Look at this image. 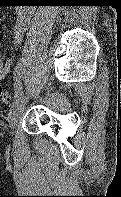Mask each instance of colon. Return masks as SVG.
<instances>
[{
  "label": "colon",
  "instance_id": "5ec220e1",
  "mask_svg": "<svg viewBox=\"0 0 121 197\" xmlns=\"http://www.w3.org/2000/svg\"><path fill=\"white\" fill-rule=\"evenodd\" d=\"M0 100L3 101L4 103H10L11 101V96L8 92H6L2 86L0 85Z\"/></svg>",
  "mask_w": 121,
  "mask_h": 197
}]
</instances>
